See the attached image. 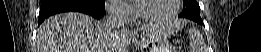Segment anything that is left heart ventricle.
<instances>
[{
	"label": "left heart ventricle",
	"mask_w": 261,
	"mask_h": 52,
	"mask_svg": "<svg viewBox=\"0 0 261 52\" xmlns=\"http://www.w3.org/2000/svg\"><path fill=\"white\" fill-rule=\"evenodd\" d=\"M137 4L141 15L153 18L164 16L173 8V0H146Z\"/></svg>",
	"instance_id": "b2bd125f"
}]
</instances>
